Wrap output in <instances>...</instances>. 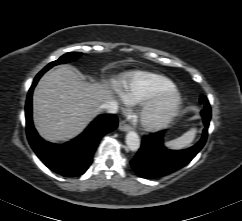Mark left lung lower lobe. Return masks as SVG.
I'll use <instances>...</instances> for the list:
<instances>
[{"instance_id": "left-lung-lower-lobe-1", "label": "left lung lower lobe", "mask_w": 242, "mask_h": 221, "mask_svg": "<svg viewBox=\"0 0 242 221\" xmlns=\"http://www.w3.org/2000/svg\"><path fill=\"white\" fill-rule=\"evenodd\" d=\"M200 99L205 101L201 112L205 128L200 141L188 149L175 151L164 147L163 131L144 136L138 153L130 162L137 175L154 179L173 173L187 165L203 148L208 135L211 108L205 96Z\"/></svg>"}]
</instances>
